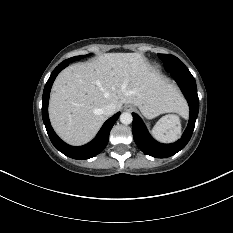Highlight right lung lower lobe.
Returning a JSON list of instances; mask_svg holds the SVG:
<instances>
[{
	"label": "right lung lower lobe",
	"mask_w": 233,
	"mask_h": 233,
	"mask_svg": "<svg viewBox=\"0 0 233 233\" xmlns=\"http://www.w3.org/2000/svg\"><path fill=\"white\" fill-rule=\"evenodd\" d=\"M67 61H63L60 65H58L53 72L51 73L45 88L43 92L42 97V118L44 125L46 127L47 133L49 135V138L52 142V144L55 146L57 150H59L64 155L73 158V159H89L97 154H99L103 149L106 147L108 141H109V134L110 131L118 119L120 112L112 116L110 119H108L98 132L97 136L88 144L80 147H74L66 144L63 142L54 132L53 128L51 127L49 117H48V101H49V94L52 87V84L58 75V73L68 66Z\"/></svg>",
	"instance_id": "98d812e1"
}]
</instances>
